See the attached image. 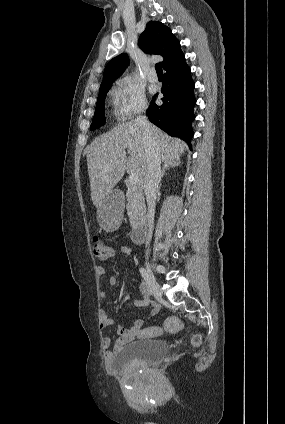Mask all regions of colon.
<instances>
[{
	"mask_svg": "<svg viewBox=\"0 0 285 424\" xmlns=\"http://www.w3.org/2000/svg\"><path fill=\"white\" fill-rule=\"evenodd\" d=\"M92 251L94 256L101 260H107L114 254L112 246L98 237H95L93 240ZM182 327L183 324L180 319L175 316H171L161 326L151 327L143 330L141 333V338L149 339L163 333L172 334L181 330ZM192 342L194 345H198L200 343V336L195 335L192 339Z\"/></svg>",
	"mask_w": 285,
	"mask_h": 424,
	"instance_id": "1",
	"label": "colon"
}]
</instances>
